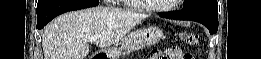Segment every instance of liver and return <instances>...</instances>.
I'll return each mask as SVG.
<instances>
[{
	"instance_id": "1",
	"label": "liver",
	"mask_w": 261,
	"mask_h": 59,
	"mask_svg": "<svg viewBox=\"0 0 261 59\" xmlns=\"http://www.w3.org/2000/svg\"><path fill=\"white\" fill-rule=\"evenodd\" d=\"M145 18L144 14L102 6L62 14L43 29L44 59H85L91 36L98 37L99 48L110 47Z\"/></svg>"
}]
</instances>
